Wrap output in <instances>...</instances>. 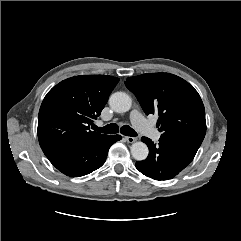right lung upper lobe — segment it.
Wrapping results in <instances>:
<instances>
[{
    "instance_id": "cb5924a9",
    "label": "right lung upper lobe",
    "mask_w": 241,
    "mask_h": 241,
    "mask_svg": "<svg viewBox=\"0 0 241 241\" xmlns=\"http://www.w3.org/2000/svg\"><path fill=\"white\" fill-rule=\"evenodd\" d=\"M119 78L82 75L68 78L45 96L38 117V140L46 156L102 136L89 127L100 115Z\"/></svg>"
}]
</instances>
